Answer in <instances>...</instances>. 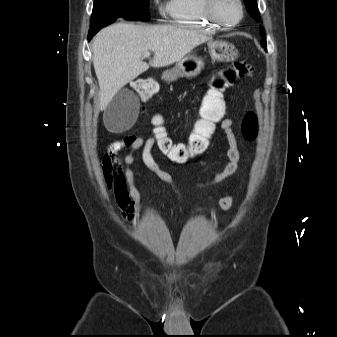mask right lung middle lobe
<instances>
[{"label": "right lung middle lobe", "mask_w": 337, "mask_h": 337, "mask_svg": "<svg viewBox=\"0 0 337 337\" xmlns=\"http://www.w3.org/2000/svg\"><path fill=\"white\" fill-rule=\"evenodd\" d=\"M149 0H94L91 26L101 22H114L118 18L148 21Z\"/></svg>", "instance_id": "1"}]
</instances>
